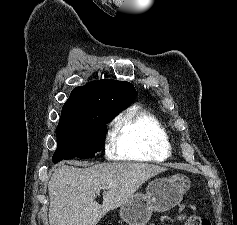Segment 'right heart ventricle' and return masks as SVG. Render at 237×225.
I'll return each instance as SVG.
<instances>
[{
  "mask_svg": "<svg viewBox=\"0 0 237 225\" xmlns=\"http://www.w3.org/2000/svg\"><path fill=\"white\" fill-rule=\"evenodd\" d=\"M114 153L117 160L158 162L172 154L170 137L163 124L152 114L130 110L114 125Z\"/></svg>",
  "mask_w": 237,
  "mask_h": 225,
  "instance_id": "obj_1",
  "label": "right heart ventricle"
}]
</instances>
